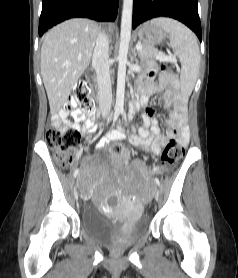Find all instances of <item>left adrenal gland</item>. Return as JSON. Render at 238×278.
Returning a JSON list of instances; mask_svg holds the SVG:
<instances>
[{
  "label": "left adrenal gland",
  "instance_id": "obj_1",
  "mask_svg": "<svg viewBox=\"0 0 238 278\" xmlns=\"http://www.w3.org/2000/svg\"><path fill=\"white\" fill-rule=\"evenodd\" d=\"M136 48H134V50H133V57H132V59L133 60H135L136 61V63H138V59L136 58Z\"/></svg>",
  "mask_w": 238,
  "mask_h": 278
}]
</instances>
